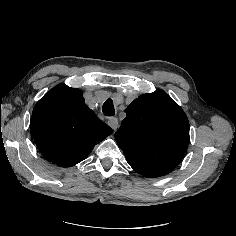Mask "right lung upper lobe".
<instances>
[{"label":"right lung upper lobe","mask_w":236,"mask_h":236,"mask_svg":"<svg viewBox=\"0 0 236 236\" xmlns=\"http://www.w3.org/2000/svg\"><path fill=\"white\" fill-rule=\"evenodd\" d=\"M31 134L43 157L62 167L83 161L112 129L89 109L79 89L64 84L36 104Z\"/></svg>","instance_id":"obj_1"}]
</instances>
